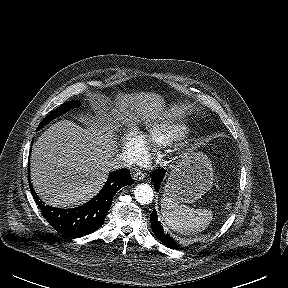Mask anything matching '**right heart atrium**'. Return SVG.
I'll list each match as a JSON object with an SVG mask.
<instances>
[{
	"mask_svg": "<svg viewBox=\"0 0 288 288\" xmlns=\"http://www.w3.org/2000/svg\"><path fill=\"white\" fill-rule=\"evenodd\" d=\"M124 154L133 162L142 161L146 154V147L136 132L127 133L121 140Z\"/></svg>",
	"mask_w": 288,
	"mask_h": 288,
	"instance_id": "1",
	"label": "right heart atrium"
}]
</instances>
